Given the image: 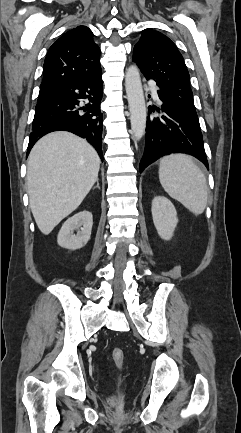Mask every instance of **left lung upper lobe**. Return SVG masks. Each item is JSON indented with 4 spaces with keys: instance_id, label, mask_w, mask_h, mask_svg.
Returning <instances> with one entry per match:
<instances>
[{
    "instance_id": "obj_1",
    "label": "left lung upper lobe",
    "mask_w": 241,
    "mask_h": 433,
    "mask_svg": "<svg viewBox=\"0 0 241 433\" xmlns=\"http://www.w3.org/2000/svg\"><path fill=\"white\" fill-rule=\"evenodd\" d=\"M133 61L146 79L155 80L159 91L200 127L187 67L181 53L167 36L152 29L144 30L134 46Z\"/></svg>"
}]
</instances>
